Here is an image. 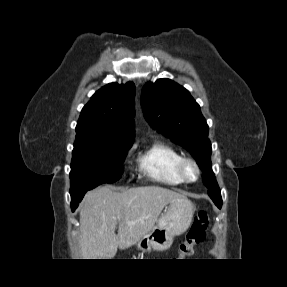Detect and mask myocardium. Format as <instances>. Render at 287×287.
<instances>
[{"mask_svg":"<svg viewBox=\"0 0 287 287\" xmlns=\"http://www.w3.org/2000/svg\"><path fill=\"white\" fill-rule=\"evenodd\" d=\"M189 166H192L196 171V176L193 179H191L187 173ZM178 174L183 182L191 184L199 180L201 176V169L196 160L190 157H183L178 165Z\"/></svg>","mask_w":287,"mask_h":287,"instance_id":"f54148a6","label":"myocardium"}]
</instances>
